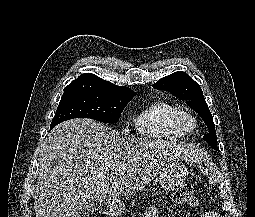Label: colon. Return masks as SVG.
Masks as SVG:
<instances>
[{
	"label": "colon",
	"mask_w": 255,
	"mask_h": 217,
	"mask_svg": "<svg viewBox=\"0 0 255 217\" xmlns=\"http://www.w3.org/2000/svg\"><path fill=\"white\" fill-rule=\"evenodd\" d=\"M173 201L176 204L195 206L198 200L193 189L189 185H182L173 193Z\"/></svg>",
	"instance_id": "colon-1"
}]
</instances>
